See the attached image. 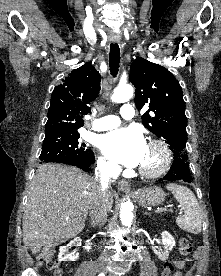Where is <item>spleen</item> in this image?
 <instances>
[{
    "instance_id": "1",
    "label": "spleen",
    "mask_w": 221,
    "mask_h": 276,
    "mask_svg": "<svg viewBox=\"0 0 221 276\" xmlns=\"http://www.w3.org/2000/svg\"><path fill=\"white\" fill-rule=\"evenodd\" d=\"M166 189L171 191L175 199L184 209V215L176 218L177 225L191 234H199L202 229V213L194 193L187 187L170 183Z\"/></svg>"
}]
</instances>
